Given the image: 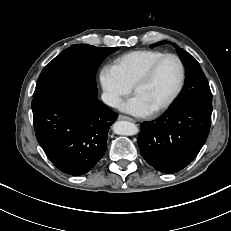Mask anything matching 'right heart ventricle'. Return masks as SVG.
Wrapping results in <instances>:
<instances>
[{
	"mask_svg": "<svg viewBox=\"0 0 231 231\" xmlns=\"http://www.w3.org/2000/svg\"><path fill=\"white\" fill-rule=\"evenodd\" d=\"M163 54L159 50H135L116 58L112 66L129 86H133L142 72Z\"/></svg>",
	"mask_w": 231,
	"mask_h": 231,
	"instance_id": "e07e8e85",
	"label": "right heart ventricle"
}]
</instances>
